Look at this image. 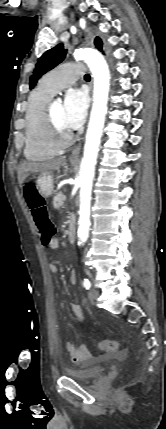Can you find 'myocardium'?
<instances>
[{
	"instance_id": "1",
	"label": "myocardium",
	"mask_w": 166,
	"mask_h": 429,
	"mask_svg": "<svg viewBox=\"0 0 166 429\" xmlns=\"http://www.w3.org/2000/svg\"><path fill=\"white\" fill-rule=\"evenodd\" d=\"M51 106L52 105L48 103L45 110V126L48 141L56 150L66 148L73 141V133L69 132L63 134L58 130L52 117Z\"/></svg>"
}]
</instances>
